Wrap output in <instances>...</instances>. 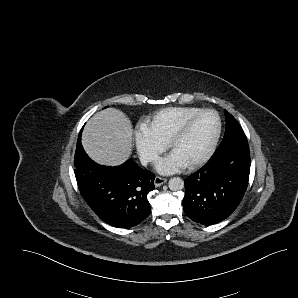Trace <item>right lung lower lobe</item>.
<instances>
[{"label": "right lung lower lobe", "mask_w": 298, "mask_h": 298, "mask_svg": "<svg viewBox=\"0 0 298 298\" xmlns=\"http://www.w3.org/2000/svg\"><path fill=\"white\" fill-rule=\"evenodd\" d=\"M74 166L82 197L104 222L130 228L150 214L147 196L155 188V175L132 159L115 167L99 165L84 151L80 133Z\"/></svg>", "instance_id": "right-lung-lower-lobe-1"}]
</instances>
